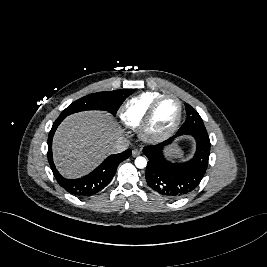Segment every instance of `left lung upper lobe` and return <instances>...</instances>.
Wrapping results in <instances>:
<instances>
[{
    "label": "left lung upper lobe",
    "mask_w": 267,
    "mask_h": 267,
    "mask_svg": "<svg viewBox=\"0 0 267 267\" xmlns=\"http://www.w3.org/2000/svg\"><path fill=\"white\" fill-rule=\"evenodd\" d=\"M187 118L177 134H182L190 131H203L207 132L198 112L189 104H185Z\"/></svg>",
    "instance_id": "1"
}]
</instances>
